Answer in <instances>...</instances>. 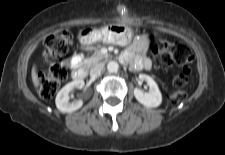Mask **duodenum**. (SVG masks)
Listing matches in <instances>:
<instances>
[{"instance_id":"duodenum-1","label":"duodenum","mask_w":225,"mask_h":155,"mask_svg":"<svg viewBox=\"0 0 225 155\" xmlns=\"http://www.w3.org/2000/svg\"><path fill=\"white\" fill-rule=\"evenodd\" d=\"M87 73L86 70L84 68H76L73 72H72V77L75 81H82L83 79H85Z\"/></svg>"}]
</instances>
